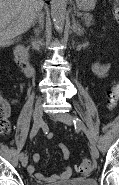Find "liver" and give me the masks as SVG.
I'll return each instance as SVG.
<instances>
[{
    "label": "liver",
    "instance_id": "1",
    "mask_svg": "<svg viewBox=\"0 0 119 185\" xmlns=\"http://www.w3.org/2000/svg\"><path fill=\"white\" fill-rule=\"evenodd\" d=\"M43 4V0H0V47L25 33Z\"/></svg>",
    "mask_w": 119,
    "mask_h": 185
}]
</instances>
